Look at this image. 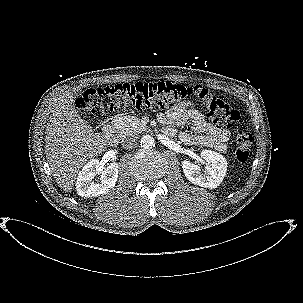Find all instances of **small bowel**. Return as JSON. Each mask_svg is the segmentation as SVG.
I'll list each match as a JSON object with an SVG mask.
<instances>
[{
    "label": "small bowel",
    "instance_id": "small-bowel-1",
    "mask_svg": "<svg viewBox=\"0 0 303 303\" xmlns=\"http://www.w3.org/2000/svg\"><path fill=\"white\" fill-rule=\"evenodd\" d=\"M157 119L164 125V131L168 136L176 133V126L191 122L194 133L185 131L180 133V139L188 145L210 147L220 152L227 150L229 130L207 122L191 101L176 103L166 112L158 114Z\"/></svg>",
    "mask_w": 303,
    "mask_h": 303
}]
</instances>
